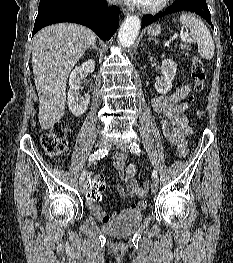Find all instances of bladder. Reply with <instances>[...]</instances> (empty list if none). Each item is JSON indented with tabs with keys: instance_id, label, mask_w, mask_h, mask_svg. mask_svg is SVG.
Here are the masks:
<instances>
[{
	"instance_id": "1",
	"label": "bladder",
	"mask_w": 233,
	"mask_h": 263,
	"mask_svg": "<svg viewBox=\"0 0 233 263\" xmlns=\"http://www.w3.org/2000/svg\"><path fill=\"white\" fill-rule=\"evenodd\" d=\"M143 213L139 210L124 209L117 213L115 218L103 223L104 233L114 237H124L133 233L141 224Z\"/></svg>"
}]
</instances>
